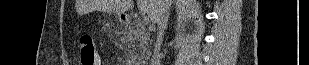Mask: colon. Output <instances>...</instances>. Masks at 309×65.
Segmentation results:
<instances>
[{
  "label": "colon",
  "instance_id": "obj_1",
  "mask_svg": "<svg viewBox=\"0 0 309 65\" xmlns=\"http://www.w3.org/2000/svg\"><path fill=\"white\" fill-rule=\"evenodd\" d=\"M79 47L81 51V65H98L99 55L91 36L83 35L80 38Z\"/></svg>",
  "mask_w": 309,
  "mask_h": 65
}]
</instances>
